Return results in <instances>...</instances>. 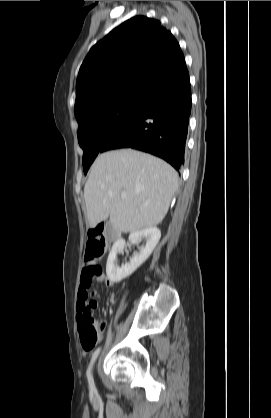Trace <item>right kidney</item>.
Instances as JSON below:
<instances>
[{"instance_id": "right-kidney-1", "label": "right kidney", "mask_w": 271, "mask_h": 418, "mask_svg": "<svg viewBox=\"0 0 271 418\" xmlns=\"http://www.w3.org/2000/svg\"><path fill=\"white\" fill-rule=\"evenodd\" d=\"M161 232L157 227H149L140 231L133 232L129 235V241L137 244L140 240L146 241L145 246L140 248V252L131 258L130 262L119 267L116 264L117 254L125 247V241L119 239L115 241L109 253L106 273L111 282H120L124 278L130 276L138 267H140L151 255L154 248L158 244Z\"/></svg>"}]
</instances>
